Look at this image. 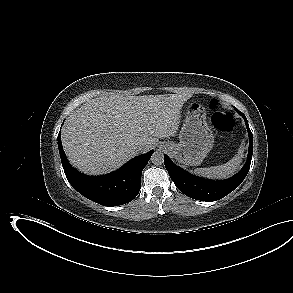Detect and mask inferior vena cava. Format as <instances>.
Instances as JSON below:
<instances>
[{
	"mask_svg": "<svg viewBox=\"0 0 293 293\" xmlns=\"http://www.w3.org/2000/svg\"><path fill=\"white\" fill-rule=\"evenodd\" d=\"M138 149H139V150H142L143 148L141 147V145H139V146H138Z\"/></svg>",
	"mask_w": 293,
	"mask_h": 293,
	"instance_id": "602c4592",
	"label": "inferior vena cava"
}]
</instances>
